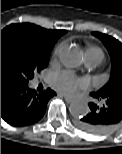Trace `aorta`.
Here are the masks:
<instances>
[{
    "mask_svg": "<svg viewBox=\"0 0 122 154\" xmlns=\"http://www.w3.org/2000/svg\"><path fill=\"white\" fill-rule=\"evenodd\" d=\"M60 61L68 68L78 67L82 63V53L79 48L68 46L61 50ZM71 115L79 117L89 112V107L84 101H73L69 106Z\"/></svg>",
    "mask_w": 122,
    "mask_h": 154,
    "instance_id": "762f6f07",
    "label": "aorta"
}]
</instances>
